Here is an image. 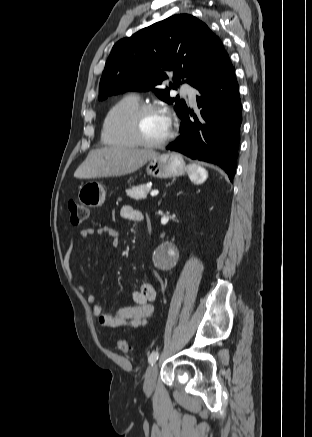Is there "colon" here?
<instances>
[{"mask_svg":"<svg viewBox=\"0 0 312 437\" xmlns=\"http://www.w3.org/2000/svg\"><path fill=\"white\" fill-rule=\"evenodd\" d=\"M68 209L70 213V221L73 225H80L87 217V207L75 200H70L68 202ZM118 348L123 353H129L132 350V346L127 340H120L118 342Z\"/></svg>","mask_w":312,"mask_h":437,"instance_id":"colon-1","label":"colon"}]
</instances>
